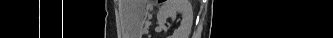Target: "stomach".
Here are the masks:
<instances>
[{"label":"stomach","mask_w":333,"mask_h":38,"mask_svg":"<svg viewBox=\"0 0 333 38\" xmlns=\"http://www.w3.org/2000/svg\"><path fill=\"white\" fill-rule=\"evenodd\" d=\"M145 15L143 14L142 19H144Z\"/></svg>","instance_id":"stomach-1"}]
</instances>
